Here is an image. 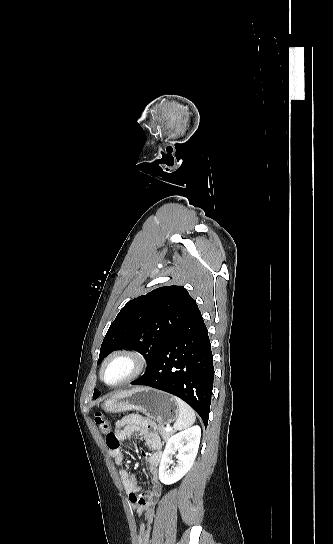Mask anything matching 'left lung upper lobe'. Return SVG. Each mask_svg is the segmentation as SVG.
I'll use <instances>...</instances> for the list:
<instances>
[{
  "mask_svg": "<svg viewBox=\"0 0 333 544\" xmlns=\"http://www.w3.org/2000/svg\"><path fill=\"white\" fill-rule=\"evenodd\" d=\"M195 305V300L181 286L160 287L129 301L105 335L98 364L111 352L130 348L145 357L148 370ZM99 396L95 389L93 398Z\"/></svg>",
  "mask_w": 333,
  "mask_h": 544,
  "instance_id": "left-lung-upper-lobe-1",
  "label": "left lung upper lobe"
}]
</instances>
